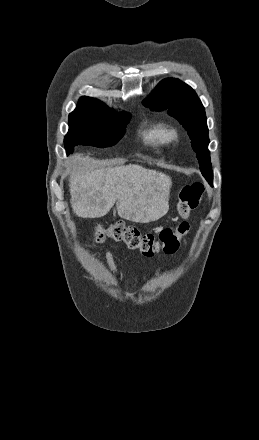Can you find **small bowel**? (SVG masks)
Segmentation results:
<instances>
[{
  "label": "small bowel",
  "instance_id": "small-bowel-1",
  "mask_svg": "<svg viewBox=\"0 0 259 440\" xmlns=\"http://www.w3.org/2000/svg\"><path fill=\"white\" fill-rule=\"evenodd\" d=\"M105 259L107 261V264L111 270V272L113 273V275L115 277H118L117 274V269H116V265H115V261H114V257H113V253L110 249H107L105 252ZM162 267L161 265H159L156 269V275L158 276L161 273Z\"/></svg>",
  "mask_w": 259,
  "mask_h": 440
}]
</instances>
